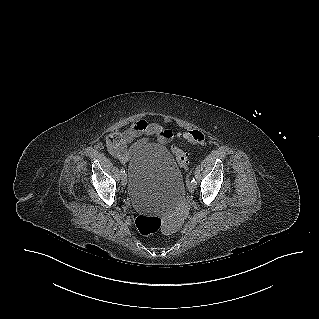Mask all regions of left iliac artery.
Wrapping results in <instances>:
<instances>
[{"label": "left iliac artery", "instance_id": "1", "mask_svg": "<svg viewBox=\"0 0 319 319\" xmlns=\"http://www.w3.org/2000/svg\"><path fill=\"white\" fill-rule=\"evenodd\" d=\"M190 183H192V184H195V185H196V181H195L194 177H192V178H191Z\"/></svg>", "mask_w": 319, "mask_h": 319}]
</instances>
